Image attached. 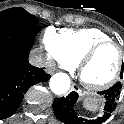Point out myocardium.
Wrapping results in <instances>:
<instances>
[{
	"label": "myocardium",
	"mask_w": 124,
	"mask_h": 124,
	"mask_svg": "<svg viewBox=\"0 0 124 124\" xmlns=\"http://www.w3.org/2000/svg\"><path fill=\"white\" fill-rule=\"evenodd\" d=\"M107 46H114L118 51V65L114 75L108 81L101 84H92V83L86 82L82 77V73L86 65L95 57V55L99 52V50ZM77 65H78V77L80 79V82L86 89L93 92L105 91L111 88L113 85H115L119 81L122 75V72L124 69V50L115 41H112V40L102 41L95 44L91 49H89L85 53V55L79 60Z\"/></svg>",
	"instance_id": "f54148a6"
}]
</instances>
